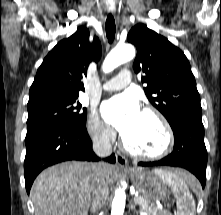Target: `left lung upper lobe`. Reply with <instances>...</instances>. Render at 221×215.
<instances>
[{
	"label": "left lung upper lobe",
	"instance_id": "5c2ea615",
	"mask_svg": "<svg viewBox=\"0 0 221 215\" xmlns=\"http://www.w3.org/2000/svg\"><path fill=\"white\" fill-rule=\"evenodd\" d=\"M127 40L137 48L133 69L145 73L144 91L169 124L179 115L202 117L195 77L184 53L144 24L134 26Z\"/></svg>",
	"mask_w": 221,
	"mask_h": 215
}]
</instances>
